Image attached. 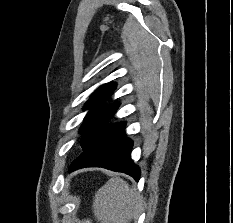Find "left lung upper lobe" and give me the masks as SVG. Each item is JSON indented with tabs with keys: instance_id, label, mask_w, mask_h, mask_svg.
<instances>
[{
	"instance_id": "obj_1",
	"label": "left lung upper lobe",
	"mask_w": 233,
	"mask_h": 223,
	"mask_svg": "<svg viewBox=\"0 0 233 223\" xmlns=\"http://www.w3.org/2000/svg\"><path fill=\"white\" fill-rule=\"evenodd\" d=\"M115 83H107L99 87L85 103V108L91 110L85 117L81 126V133H85L82 138V148L88 146L106 126L105 123L114 115L119 107V103L104 105V100L115 90Z\"/></svg>"
}]
</instances>
